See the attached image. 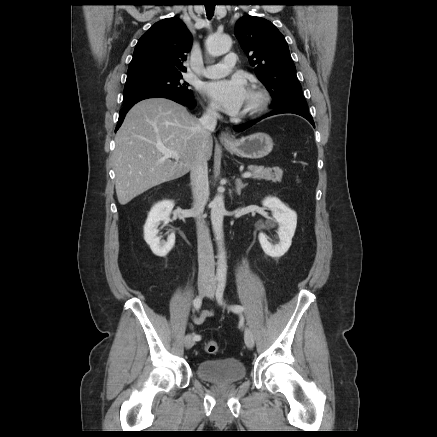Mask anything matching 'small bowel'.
<instances>
[{"mask_svg": "<svg viewBox=\"0 0 437 437\" xmlns=\"http://www.w3.org/2000/svg\"><path fill=\"white\" fill-rule=\"evenodd\" d=\"M214 312L212 310H204L199 315H193L192 321L196 325L202 324L207 318L212 317Z\"/></svg>", "mask_w": 437, "mask_h": 437, "instance_id": "c3829d8e", "label": "small bowel"}]
</instances>
